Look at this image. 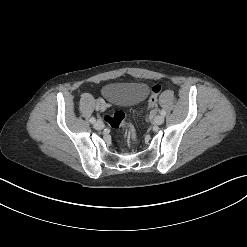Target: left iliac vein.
I'll return each mask as SVG.
<instances>
[{
  "instance_id": "obj_1",
  "label": "left iliac vein",
  "mask_w": 247,
  "mask_h": 247,
  "mask_svg": "<svg viewBox=\"0 0 247 247\" xmlns=\"http://www.w3.org/2000/svg\"><path fill=\"white\" fill-rule=\"evenodd\" d=\"M154 124L155 125H161L163 122H164V116L162 115H157L155 118H154Z\"/></svg>"
}]
</instances>
